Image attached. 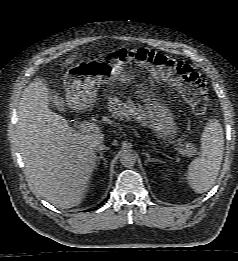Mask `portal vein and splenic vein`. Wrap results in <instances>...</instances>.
<instances>
[{
    "label": "portal vein and splenic vein",
    "mask_w": 238,
    "mask_h": 261,
    "mask_svg": "<svg viewBox=\"0 0 238 261\" xmlns=\"http://www.w3.org/2000/svg\"><path fill=\"white\" fill-rule=\"evenodd\" d=\"M78 129L81 133H91L97 132L99 130V127L93 122H82L78 125ZM174 149L182 156L192 157L194 155L193 153H189L188 151L179 147H174Z\"/></svg>",
    "instance_id": "portal-vein-and-splenic-vein-1"
}]
</instances>
